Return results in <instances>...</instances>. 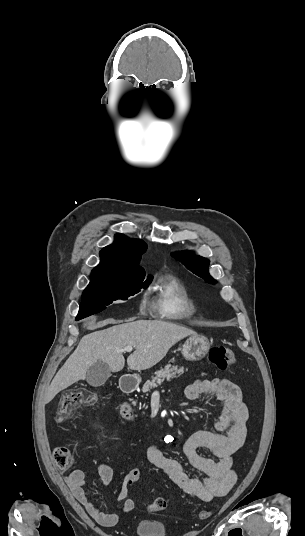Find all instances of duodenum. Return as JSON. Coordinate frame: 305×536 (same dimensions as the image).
<instances>
[{
	"label": "duodenum",
	"instance_id": "obj_1",
	"mask_svg": "<svg viewBox=\"0 0 305 536\" xmlns=\"http://www.w3.org/2000/svg\"><path fill=\"white\" fill-rule=\"evenodd\" d=\"M139 386V379L133 376L125 375L120 380V388L121 390L126 393L130 394L134 392ZM122 415L123 417L128 421H134V412L132 409V406L130 402H125L122 405Z\"/></svg>",
	"mask_w": 305,
	"mask_h": 536
}]
</instances>
